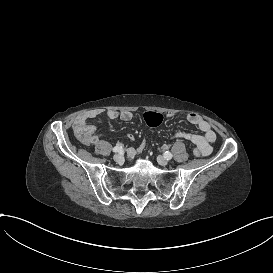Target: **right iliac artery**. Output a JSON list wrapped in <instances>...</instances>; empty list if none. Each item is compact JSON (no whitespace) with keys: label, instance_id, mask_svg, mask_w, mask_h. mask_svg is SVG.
Returning <instances> with one entry per match:
<instances>
[{"label":"right iliac artery","instance_id":"82829eb1","mask_svg":"<svg viewBox=\"0 0 273 273\" xmlns=\"http://www.w3.org/2000/svg\"><path fill=\"white\" fill-rule=\"evenodd\" d=\"M122 151H123L122 146H115L113 148V152H122Z\"/></svg>","mask_w":273,"mask_h":273}]
</instances>
